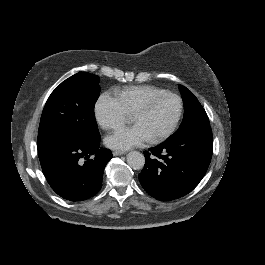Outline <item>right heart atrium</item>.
<instances>
[{
  "label": "right heart atrium",
  "mask_w": 265,
  "mask_h": 265,
  "mask_svg": "<svg viewBox=\"0 0 265 265\" xmlns=\"http://www.w3.org/2000/svg\"><path fill=\"white\" fill-rule=\"evenodd\" d=\"M94 116L100 127L113 130L122 126L125 113L115 96L111 93H104L95 104Z\"/></svg>",
  "instance_id": "1"
}]
</instances>
